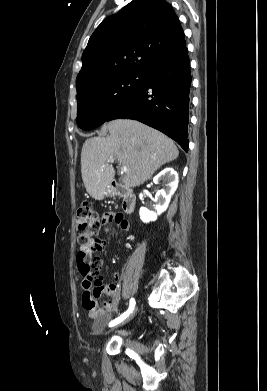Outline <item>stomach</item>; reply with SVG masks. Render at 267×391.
<instances>
[{
  "mask_svg": "<svg viewBox=\"0 0 267 391\" xmlns=\"http://www.w3.org/2000/svg\"><path fill=\"white\" fill-rule=\"evenodd\" d=\"M112 189L108 186L104 191V197H109L112 195Z\"/></svg>",
  "mask_w": 267,
  "mask_h": 391,
  "instance_id": "1",
  "label": "stomach"
}]
</instances>
